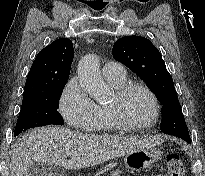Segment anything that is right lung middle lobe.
I'll return each instance as SVG.
<instances>
[{
    "label": "right lung middle lobe",
    "instance_id": "right-lung-middle-lobe-1",
    "mask_svg": "<svg viewBox=\"0 0 205 176\" xmlns=\"http://www.w3.org/2000/svg\"><path fill=\"white\" fill-rule=\"evenodd\" d=\"M64 85L45 92L23 96L14 136L33 127L64 124V120L57 111L58 100L60 99Z\"/></svg>",
    "mask_w": 205,
    "mask_h": 176
}]
</instances>
